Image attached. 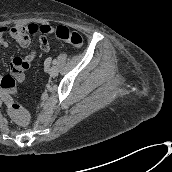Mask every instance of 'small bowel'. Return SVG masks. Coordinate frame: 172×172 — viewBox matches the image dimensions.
<instances>
[{"label": "small bowel", "instance_id": "1", "mask_svg": "<svg viewBox=\"0 0 172 172\" xmlns=\"http://www.w3.org/2000/svg\"><path fill=\"white\" fill-rule=\"evenodd\" d=\"M31 27L37 28V30L33 34H39L38 35V42L40 45V48L44 52H48L50 50V44L48 39L46 38V35L52 32V27L48 24H30L27 26H14L12 28H8L6 26L0 27V47L7 48L9 46L7 37L12 38L15 40L19 45L22 47H27L31 43V37L30 35L33 34H27L29 29ZM36 58V53L33 51L29 55H27L25 58L22 57H13L11 59L10 65L11 69L18 75V79L22 80L24 77L25 71L29 68L31 62Z\"/></svg>", "mask_w": 172, "mask_h": 172}]
</instances>
